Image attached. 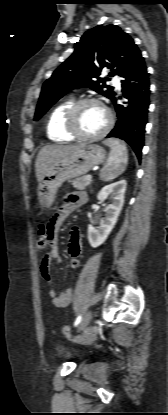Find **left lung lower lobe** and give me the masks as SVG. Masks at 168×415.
I'll return each instance as SVG.
<instances>
[{
	"label": "left lung lower lobe",
	"instance_id": "obj_1",
	"mask_svg": "<svg viewBox=\"0 0 168 415\" xmlns=\"http://www.w3.org/2000/svg\"><path fill=\"white\" fill-rule=\"evenodd\" d=\"M122 77L124 102L117 104V93H115L112 102L117 113V122L107 138L115 137L125 140L140 160L144 146L150 94L149 74L141 53L134 58Z\"/></svg>",
	"mask_w": 168,
	"mask_h": 415
}]
</instances>
